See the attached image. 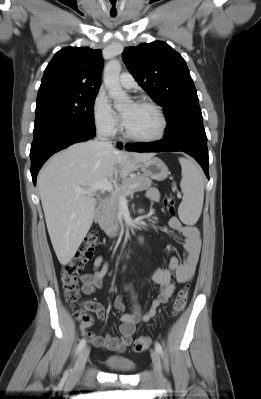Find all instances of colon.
Wrapping results in <instances>:
<instances>
[{
    "instance_id": "5ec220e1",
    "label": "colon",
    "mask_w": 261,
    "mask_h": 399,
    "mask_svg": "<svg viewBox=\"0 0 261 399\" xmlns=\"http://www.w3.org/2000/svg\"><path fill=\"white\" fill-rule=\"evenodd\" d=\"M164 206L170 214H174L175 205L171 196H166L164 199ZM98 243V234L95 232L88 233L84 240L82 247L76 252L74 257L64 264L61 269L60 280L62 285L63 295L66 301L73 307L79 305L80 288L78 283V276L82 268L91 260L93 252ZM187 302V289H182L178 292L173 303V314L181 313ZM89 305L86 304L83 308L75 311V318L82 326H87L91 323V316L88 313ZM151 341L147 337H139L133 344L135 352H142L148 349Z\"/></svg>"
}]
</instances>
